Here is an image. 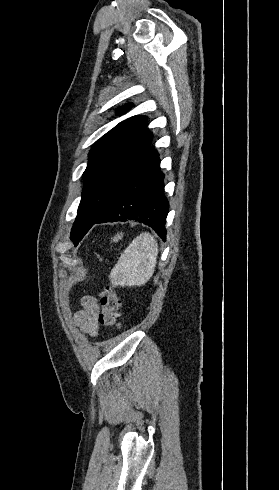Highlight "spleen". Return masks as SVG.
I'll list each match as a JSON object with an SVG mask.
<instances>
[{"instance_id": "spleen-1", "label": "spleen", "mask_w": 279, "mask_h": 490, "mask_svg": "<svg viewBox=\"0 0 279 490\" xmlns=\"http://www.w3.org/2000/svg\"><path fill=\"white\" fill-rule=\"evenodd\" d=\"M122 234H117L114 242L121 240ZM158 256V244L151 234L143 232L137 236L125 252L121 254L116 266L110 272L113 286L119 288H134L144 286L152 278Z\"/></svg>"}]
</instances>
